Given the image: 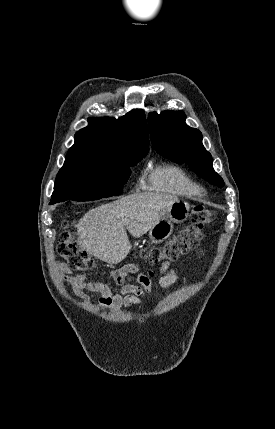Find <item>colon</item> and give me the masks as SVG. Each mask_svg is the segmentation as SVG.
I'll list each match as a JSON object with an SVG mask.
<instances>
[{"instance_id": "obj_1", "label": "colon", "mask_w": 275, "mask_h": 429, "mask_svg": "<svg viewBox=\"0 0 275 429\" xmlns=\"http://www.w3.org/2000/svg\"><path fill=\"white\" fill-rule=\"evenodd\" d=\"M216 220L215 212L203 206H195L191 212L190 223L174 238L161 247H151L141 250V256L158 264L164 260L175 261L180 256L194 250L203 239L204 230L213 225ZM65 232L61 237L59 254L66 264L74 270H87L93 263L81 249L72 231L73 224L65 222Z\"/></svg>"}]
</instances>
